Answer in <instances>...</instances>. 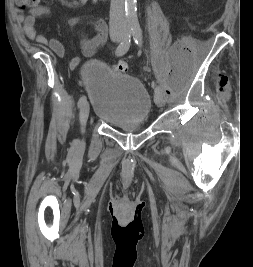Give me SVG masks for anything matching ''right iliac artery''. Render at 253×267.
Returning a JSON list of instances; mask_svg holds the SVG:
<instances>
[{
	"label": "right iliac artery",
	"mask_w": 253,
	"mask_h": 267,
	"mask_svg": "<svg viewBox=\"0 0 253 267\" xmlns=\"http://www.w3.org/2000/svg\"><path fill=\"white\" fill-rule=\"evenodd\" d=\"M133 35V30L128 29L124 32L123 39L121 43L118 45L115 53L117 56H123L130 48L131 38ZM86 102V96H81L78 100V107H82V105Z\"/></svg>",
	"instance_id": "82829eb1"
}]
</instances>
